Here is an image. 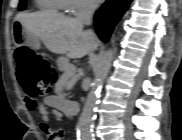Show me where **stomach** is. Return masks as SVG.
<instances>
[{"label": "stomach", "mask_w": 182, "mask_h": 140, "mask_svg": "<svg viewBox=\"0 0 182 140\" xmlns=\"http://www.w3.org/2000/svg\"><path fill=\"white\" fill-rule=\"evenodd\" d=\"M14 27V40L18 45H26L31 48H38L40 45L39 38L35 36V31H25L27 29L23 22H12Z\"/></svg>", "instance_id": "obj_1"}]
</instances>
